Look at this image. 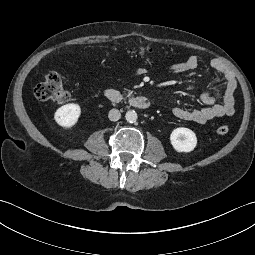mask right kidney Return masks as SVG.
Masks as SVG:
<instances>
[{"mask_svg":"<svg viewBox=\"0 0 255 255\" xmlns=\"http://www.w3.org/2000/svg\"><path fill=\"white\" fill-rule=\"evenodd\" d=\"M80 114V106L75 103H69L56 110L54 119L59 126L63 128H71L77 123Z\"/></svg>","mask_w":255,"mask_h":255,"instance_id":"ca27d5eb","label":"right kidney"}]
</instances>
